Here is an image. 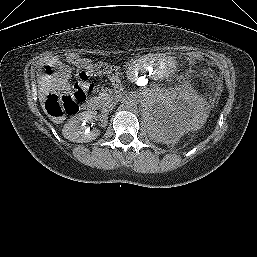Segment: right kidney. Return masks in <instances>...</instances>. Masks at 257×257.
Instances as JSON below:
<instances>
[{
	"instance_id": "ca27d5eb",
	"label": "right kidney",
	"mask_w": 257,
	"mask_h": 257,
	"mask_svg": "<svg viewBox=\"0 0 257 257\" xmlns=\"http://www.w3.org/2000/svg\"><path fill=\"white\" fill-rule=\"evenodd\" d=\"M93 112H82L73 116L64 125L62 130L63 136L76 143H86L95 140L99 135L100 131L98 129H90L86 127L87 121H93Z\"/></svg>"
}]
</instances>
